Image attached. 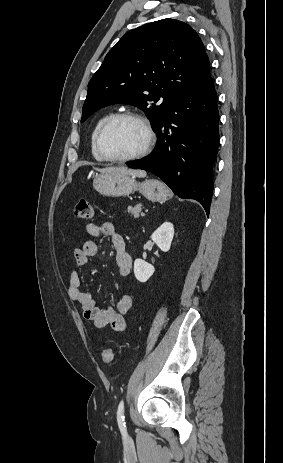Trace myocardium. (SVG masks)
<instances>
[{
    "label": "myocardium",
    "instance_id": "obj_1",
    "mask_svg": "<svg viewBox=\"0 0 283 463\" xmlns=\"http://www.w3.org/2000/svg\"><path fill=\"white\" fill-rule=\"evenodd\" d=\"M123 119H133L140 123L146 135L145 144L140 151H138L137 153L133 155L125 156V157L110 156L106 154V152L103 149L102 137L109 126ZM155 140H156V137H155L154 130L151 126V123L144 115L138 112H134V111H125V112H120V113L111 115L109 118H107L102 123V125L99 127L96 133L95 146H96L97 152L99 153V155L102 157L103 160L109 161V162H115V163H126V162H131V161L141 159L145 157L146 155H148L151 152L155 144Z\"/></svg>",
    "mask_w": 283,
    "mask_h": 463
}]
</instances>
